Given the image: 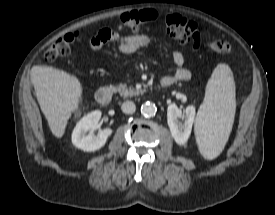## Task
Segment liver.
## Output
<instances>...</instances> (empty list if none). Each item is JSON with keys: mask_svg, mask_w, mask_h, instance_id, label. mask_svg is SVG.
Returning a JSON list of instances; mask_svg holds the SVG:
<instances>
[{"mask_svg": "<svg viewBox=\"0 0 275 215\" xmlns=\"http://www.w3.org/2000/svg\"><path fill=\"white\" fill-rule=\"evenodd\" d=\"M31 82L52 134L61 138L67 122L78 109L82 85L78 78L50 66H33Z\"/></svg>", "mask_w": 275, "mask_h": 215, "instance_id": "liver-1", "label": "liver"}]
</instances>
